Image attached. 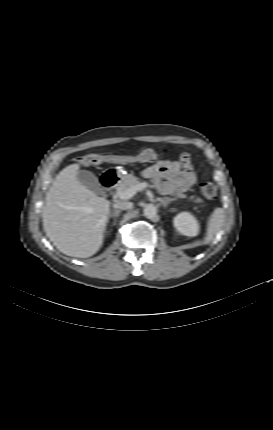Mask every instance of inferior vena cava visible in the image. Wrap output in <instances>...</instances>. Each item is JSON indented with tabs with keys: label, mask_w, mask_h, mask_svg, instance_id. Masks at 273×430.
<instances>
[{
	"label": "inferior vena cava",
	"mask_w": 273,
	"mask_h": 430,
	"mask_svg": "<svg viewBox=\"0 0 273 430\" xmlns=\"http://www.w3.org/2000/svg\"><path fill=\"white\" fill-rule=\"evenodd\" d=\"M133 204L127 201H119L116 202L113 207L120 210H126L132 208Z\"/></svg>",
	"instance_id": "1"
}]
</instances>
